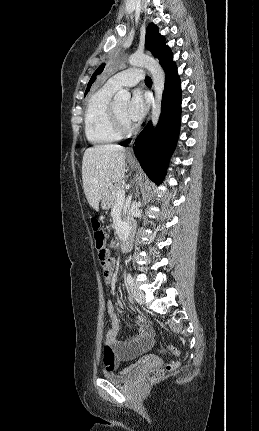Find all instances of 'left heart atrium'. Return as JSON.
I'll return each mask as SVG.
<instances>
[{
	"instance_id": "obj_1",
	"label": "left heart atrium",
	"mask_w": 259,
	"mask_h": 431,
	"mask_svg": "<svg viewBox=\"0 0 259 431\" xmlns=\"http://www.w3.org/2000/svg\"><path fill=\"white\" fill-rule=\"evenodd\" d=\"M147 112V101L143 93L135 90L125 109V117L130 123L141 121Z\"/></svg>"
}]
</instances>
